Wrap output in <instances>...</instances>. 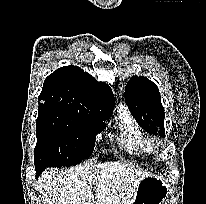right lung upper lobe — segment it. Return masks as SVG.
Returning a JSON list of instances; mask_svg holds the SVG:
<instances>
[{"instance_id":"1","label":"right lung upper lobe","mask_w":206,"mask_h":204,"mask_svg":"<svg viewBox=\"0 0 206 204\" xmlns=\"http://www.w3.org/2000/svg\"><path fill=\"white\" fill-rule=\"evenodd\" d=\"M39 107H58L95 117H110L114 107L111 88L77 66L57 69L49 75L38 97Z\"/></svg>"}]
</instances>
